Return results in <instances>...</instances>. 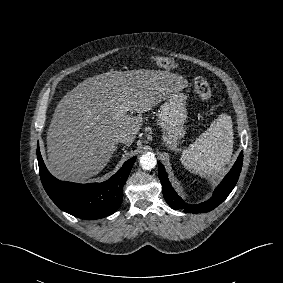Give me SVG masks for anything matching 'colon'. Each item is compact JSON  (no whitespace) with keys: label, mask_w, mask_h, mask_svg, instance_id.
Wrapping results in <instances>:
<instances>
[{"label":"colon","mask_w":283,"mask_h":283,"mask_svg":"<svg viewBox=\"0 0 283 283\" xmlns=\"http://www.w3.org/2000/svg\"><path fill=\"white\" fill-rule=\"evenodd\" d=\"M154 62L163 68L174 69L177 67V64L170 58L164 56H155L153 58ZM194 89L198 94L201 100L208 102L212 98V89L209 83L202 77H197L194 80Z\"/></svg>","instance_id":"colon-1"}]
</instances>
